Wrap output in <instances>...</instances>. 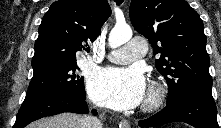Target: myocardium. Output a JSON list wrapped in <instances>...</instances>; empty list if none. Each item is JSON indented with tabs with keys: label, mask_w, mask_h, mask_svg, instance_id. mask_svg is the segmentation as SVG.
<instances>
[{
	"label": "myocardium",
	"mask_w": 221,
	"mask_h": 128,
	"mask_svg": "<svg viewBox=\"0 0 221 128\" xmlns=\"http://www.w3.org/2000/svg\"><path fill=\"white\" fill-rule=\"evenodd\" d=\"M165 96V90L159 82H151L143 102L142 109L145 112H152L159 108Z\"/></svg>",
	"instance_id": "f54148a6"
}]
</instances>
